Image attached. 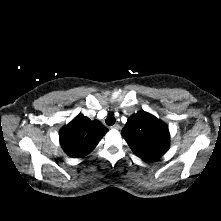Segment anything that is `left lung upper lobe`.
<instances>
[{"label":"left lung upper lobe","mask_w":221,"mask_h":221,"mask_svg":"<svg viewBox=\"0 0 221 221\" xmlns=\"http://www.w3.org/2000/svg\"><path fill=\"white\" fill-rule=\"evenodd\" d=\"M121 134L132 151L145 161H155L169 149L168 126L144 111L129 117Z\"/></svg>","instance_id":"1"}]
</instances>
